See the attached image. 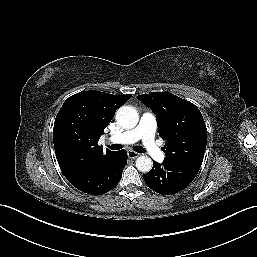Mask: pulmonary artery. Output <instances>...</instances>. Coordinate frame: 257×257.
Masks as SVG:
<instances>
[{
	"label": "pulmonary artery",
	"mask_w": 257,
	"mask_h": 257,
	"mask_svg": "<svg viewBox=\"0 0 257 257\" xmlns=\"http://www.w3.org/2000/svg\"><path fill=\"white\" fill-rule=\"evenodd\" d=\"M156 129L157 120L155 115L151 112H145L135 128L120 135L112 136L109 140L118 144H133L141 140L143 147L154 160L163 161L164 153L155 142Z\"/></svg>",
	"instance_id": "pulmonary-artery-1"
}]
</instances>
